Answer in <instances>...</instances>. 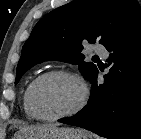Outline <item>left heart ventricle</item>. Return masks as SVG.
<instances>
[{
  "instance_id": "left-heart-ventricle-1",
  "label": "left heart ventricle",
  "mask_w": 141,
  "mask_h": 139,
  "mask_svg": "<svg viewBox=\"0 0 141 139\" xmlns=\"http://www.w3.org/2000/svg\"><path fill=\"white\" fill-rule=\"evenodd\" d=\"M79 84L69 77L53 76L41 81L35 91V102L45 115H57L73 108L79 101Z\"/></svg>"
}]
</instances>
